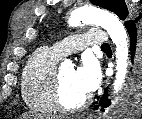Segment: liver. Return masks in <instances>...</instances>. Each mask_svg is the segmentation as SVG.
Returning a JSON list of instances; mask_svg holds the SVG:
<instances>
[{"instance_id":"1","label":"liver","mask_w":142,"mask_h":119,"mask_svg":"<svg viewBox=\"0 0 142 119\" xmlns=\"http://www.w3.org/2000/svg\"><path fill=\"white\" fill-rule=\"evenodd\" d=\"M33 118V119H55L56 117L55 116H44V115H38V116H34V115H32V116H28V115H23V118L24 119H29V118ZM61 118H63V117H61Z\"/></svg>"}]
</instances>
